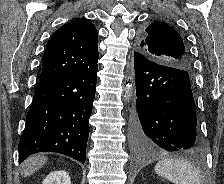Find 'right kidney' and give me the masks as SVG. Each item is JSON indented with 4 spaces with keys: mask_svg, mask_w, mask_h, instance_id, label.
Listing matches in <instances>:
<instances>
[{
    "mask_svg": "<svg viewBox=\"0 0 224 184\" xmlns=\"http://www.w3.org/2000/svg\"><path fill=\"white\" fill-rule=\"evenodd\" d=\"M42 184H71V181L66 171H54L44 179Z\"/></svg>",
    "mask_w": 224,
    "mask_h": 184,
    "instance_id": "1",
    "label": "right kidney"
}]
</instances>
